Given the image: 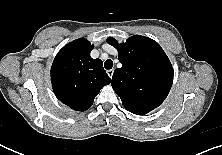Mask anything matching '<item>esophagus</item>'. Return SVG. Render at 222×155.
Wrapping results in <instances>:
<instances>
[{"mask_svg": "<svg viewBox=\"0 0 222 155\" xmlns=\"http://www.w3.org/2000/svg\"><path fill=\"white\" fill-rule=\"evenodd\" d=\"M113 73H114V70H113V69L107 70V74H108V76H109L110 78H112Z\"/></svg>", "mask_w": 222, "mask_h": 155, "instance_id": "esophagus-1", "label": "esophagus"}]
</instances>
